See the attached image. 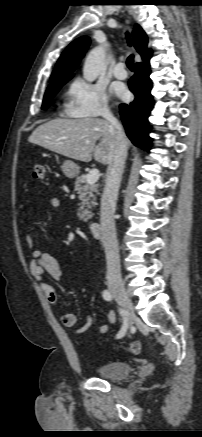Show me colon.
<instances>
[{
  "label": "colon",
  "instance_id": "obj_1",
  "mask_svg": "<svg viewBox=\"0 0 202 437\" xmlns=\"http://www.w3.org/2000/svg\"><path fill=\"white\" fill-rule=\"evenodd\" d=\"M32 176L35 179H44L46 177L45 165L41 162H36L33 165ZM127 350L133 354H138L141 351V344L138 341L133 342Z\"/></svg>",
  "mask_w": 202,
  "mask_h": 437
}]
</instances>
